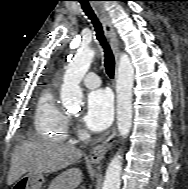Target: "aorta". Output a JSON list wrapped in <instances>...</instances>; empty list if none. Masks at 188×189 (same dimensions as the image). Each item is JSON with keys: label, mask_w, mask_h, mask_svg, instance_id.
Returning <instances> with one entry per match:
<instances>
[{"label": "aorta", "mask_w": 188, "mask_h": 189, "mask_svg": "<svg viewBox=\"0 0 188 189\" xmlns=\"http://www.w3.org/2000/svg\"><path fill=\"white\" fill-rule=\"evenodd\" d=\"M95 51L82 47L69 63L61 86V102L68 110H78L82 105L80 82L87 73L94 58ZM134 84V68L130 58L121 54L116 76L117 93V127L119 134L126 137L132 125V88ZM122 157L117 153L106 170L102 189H120Z\"/></svg>", "instance_id": "762f6f07"}]
</instances>
